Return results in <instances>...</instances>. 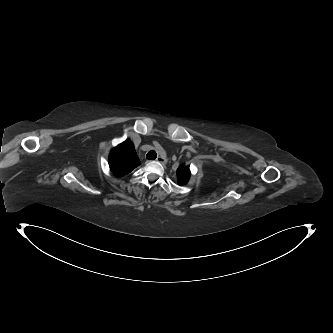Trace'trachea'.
<instances>
[{"instance_id":"obj_1","label":"trachea","mask_w":333,"mask_h":333,"mask_svg":"<svg viewBox=\"0 0 333 333\" xmlns=\"http://www.w3.org/2000/svg\"><path fill=\"white\" fill-rule=\"evenodd\" d=\"M157 157V153L154 150H151L147 153L146 158L154 160Z\"/></svg>"}]
</instances>
